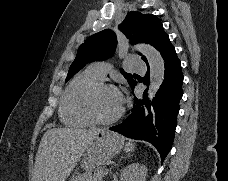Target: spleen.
Here are the masks:
<instances>
[{"mask_svg": "<svg viewBox=\"0 0 228 181\" xmlns=\"http://www.w3.org/2000/svg\"><path fill=\"white\" fill-rule=\"evenodd\" d=\"M134 149H135V143H132V141H130V143H126L125 151H127V153H129V151H134Z\"/></svg>", "mask_w": 228, "mask_h": 181, "instance_id": "3e777b00", "label": "spleen"}]
</instances>
